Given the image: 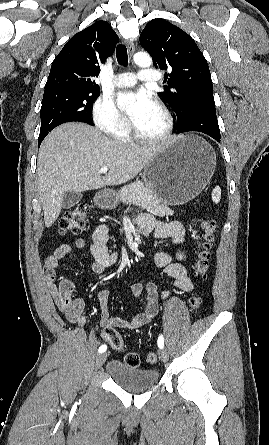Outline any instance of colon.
Listing matches in <instances>:
<instances>
[{"mask_svg":"<svg viewBox=\"0 0 269 445\" xmlns=\"http://www.w3.org/2000/svg\"><path fill=\"white\" fill-rule=\"evenodd\" d=\"M90 207L87 204H78L71 208L59 220V231L62 235H78L85 230L89 223ZM216 223L212 219H205L202 222V233L199 241V248L194 267V273L197 277L205 279L209 271L210 264V250L214 240ZM45 273L47 281L53 284L56 279V272L54 268L46 267ZM60 288L69 293L73 290V284L69 281H63ZM201 298L199 296H192L189 301L190 308L197 310L201 305ZM106 340L116 350H122L124 343L120 335L115 330L106 331ZM146 360L149 364H155L158 361L156 353L150 352L147 354ZM124 362L130 367H138L140 365V356L136 352H129L124 357Z\"/></svg>","mask_w":269,"mask_h":445,"instance_id":"5ec220e1","label":"colon"}]
</instances>
